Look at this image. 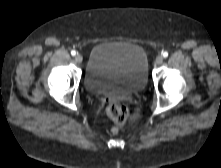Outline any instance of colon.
<instances>
[{
  "mask_svg": "<svg viewBox=\"0 0 221 168\" xmlns=\"http://www.w3.org/2000/svg\"><path fill=\"white\" fill-rule=\"evenodd\" d=\"M107 112L113 122L118 126L125 124L129 118L128 108L118 101H111L107 106Z\"/></svg>",
  "mask_w": 221,
  "mask_h": 168,
  "instance_id": "5ec220e1",
  "label": "colon"
}]
</instances>
